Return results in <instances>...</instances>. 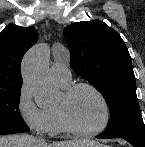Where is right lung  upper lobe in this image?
Masks as SVG:
<instances>
[{"label": "right lung upper lobe", "mask_w": 145, "mask_h": 147, "mask_svg": "<svg viewBox=\"0 0 145 147\" xmlns=\"http://www.w3.org/2000/svg\"><path fill=\"white\" fill-rule=\"evenodd\" d=\"M37 38L35 28L14 24L0 33V89L22 86L21 60Z\"/></svg>", "instance_id": "cb5924a9"}]
</instances>
